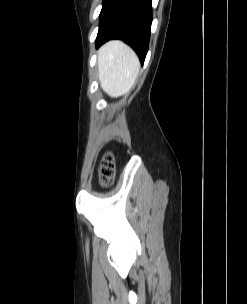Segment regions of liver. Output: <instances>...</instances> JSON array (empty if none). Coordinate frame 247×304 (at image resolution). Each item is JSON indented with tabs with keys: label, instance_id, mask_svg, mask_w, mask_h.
I'll list each match as a JSON object with an SVG mask.
<instances>
[{
	"label": "liver",
	"instance_id": "1",
	"mask_svg": "<svg viewBox=\"0 0 247 304\" xmlns=\"http://www.w3.org/2000/svg\"><path fill=\"white\" fill-rule=\"evenodd\" d=\"M98 72L101 88L112 98L128 93L140 69L135 52L119 40L109 41L98 51Z\"/></svg>",
	"mask_w": 247,
	"mask_h": 304
}]
</instances>
